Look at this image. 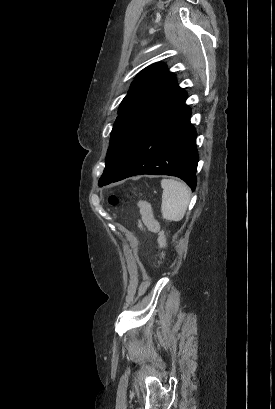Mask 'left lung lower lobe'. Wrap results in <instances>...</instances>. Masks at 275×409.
Segmentation results:
<instances>
[{"label": "left lung lower lobe", "mask_w": 275, "mask_h": 409, "mask_svg": "<svg viewBox=\"0 0 275 409\" xmlns=\"http://www.w3.org/2000/svg\"><path fill=\"white\" fill-rule=\"evenodd\" d=\"M182 100L142 136L129 152L112 182L140 174L173 175L193 190L199 160L196 129L190 123L191 109Z\"/></svg>", "instance_id": "0a47b994"}]
</instances>
